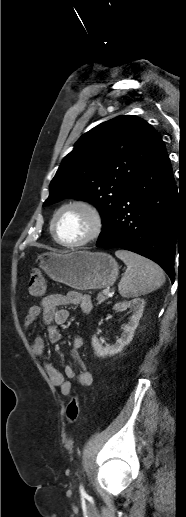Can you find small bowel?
Instances as JSON below:
<instances>
[{
  "mask_svg": "<svg viewBox=\"0 0 186 517\" xmlns=\"http://www.w3.org/2000/svg\"><path fill=\"white\" fill-rule=\"evenodd\" d=\"M68 305H79L85 313H89L92 310V301L87 294L71 291L67 294L48 295L38 305H33L29 308L24 319L25 329H28L42 315L45 323L48 325L47 336L49 342L58 343L62 335L57 325L66 323L70 316L67 309L60 307ZM82 346L83 338L75 335L72 339L71 355L81 368L79 373L71 365L64 367V375L50 363H46L44 366L52 385L59 387L61 393L65 396H69L72 393V381H77L82 386H90L93 382L92 373L85 367L79 357L78 351ZM32 349L37 356L44 354L45 343L41 336H36L33 339Z\"/></svg>",
  "mask_w": 186,
  "mask_h": 517,
  "instance_id": "1",
  "label": "small bowel"
}]
</instances>
